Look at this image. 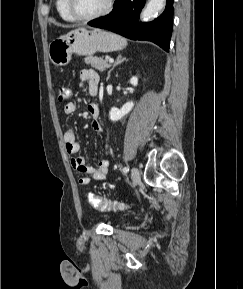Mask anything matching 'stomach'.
<instances>
[{"label":"stomach","mask_w":243,"mask_h":289,"mask_svg":"<svg viewBox=\"0 0 243 289\" xmlns=\"http://www.w3.org/2000/svg\"><path fill=\"white\" fill-rule=\"evenodd\" d=\"M127 41L108 31L79 28L66 36L53 40L48 47L50 61L57 66L67 65L75 53L80 56H91L96 52H113L126 47Z\"/></svg>","instance_id":"obj_1"}]
</instances>
